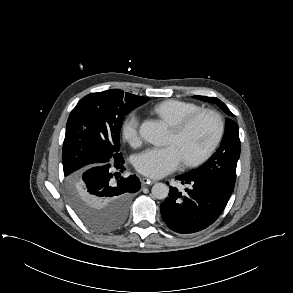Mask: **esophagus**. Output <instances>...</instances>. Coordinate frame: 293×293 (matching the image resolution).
Returning a JSON list of instances; mask_svg holds the SVG:
<instances>
[{"label": "esophagus", "mask_w": 293, "mask_h": 293, "mask_svg": "<svg viewBox=\"0 0 293 293\" xmlns=\"http://www.w3.org/2000/svg\"><path fill=\"white\" fill-rule=\"evenodd\" d=\"M142 182L144 185L153 184L156 183V180L150 179V178H143Z\"/></svg>", "instance_id": "1"}]
</instances>
